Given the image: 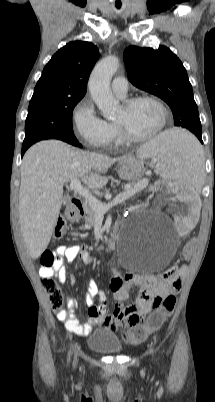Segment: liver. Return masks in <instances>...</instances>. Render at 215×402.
Returning a JSON list of instances; mask_svg holds the SVG:
<instances>
[{"label": "liver", "mask_w": 215, "mask_h": 402, "mask_svg": "<svg viewBox=\"0 0 215 402\" xmlns=\"http://www.w3.org/2000/svg\"><path fill=\"white\" fill-rule=\"evenodd\" d=\"M121 158L75 150L58 140L30 147L21 166L19 222L32 259L46 250L63 202V185L81 179L89 189H101L104 175Z\"/></svg>", "instance_id": "1"}]
</instances>
